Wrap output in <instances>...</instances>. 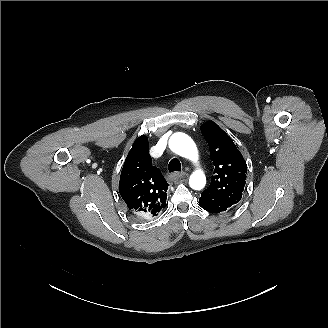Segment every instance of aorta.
I'll return each instance as SVG.
<instances>
[{"label":"aorta","mask_w":328,"mask_h":328,"mask_svg":"<svg viewBox=\"0 0 328 328\" xmlns=\"http://www.w3.org/2000/svg\"><path fill=\"white\" fill-rule=\"evenodd\" d=\"M170 149L177 155L187 158L194 163L198 160V150L194 141L187 134L177 132L169 140ZM206 184V177L202 170L194 171L189 178V185L194 190H201Z\"/></svg>","instance_id":"1"}]
</instances>
